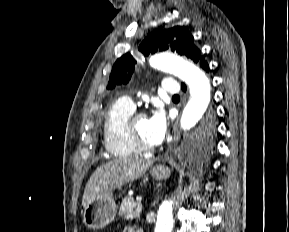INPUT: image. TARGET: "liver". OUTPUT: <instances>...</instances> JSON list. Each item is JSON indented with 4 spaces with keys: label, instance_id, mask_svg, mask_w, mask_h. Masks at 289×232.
Here are the masks:
<instances>
[{
    "label": "liver",
    "instance_id": "obj_1",
    "mask_svg": "<svg viewBox=\"0 0 289 232\" xmlns=\"http://www.w3.org/2000/svg\"><path fill=\"white\" fill-rule=\"evenodd\" d=\"M152 164L151 159H120L100 166L86 184L82 206L86 208L96 198L139 179Z\"/></svg>",
    "mask_w": 289,
    "mask_h": 232
}]
</instances>
